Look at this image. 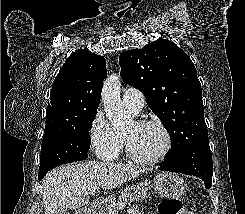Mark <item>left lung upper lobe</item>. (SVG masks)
I'll return each mask as SVG.
<instances>
[{
  "instance_id": "1",
  "label": "left lung upper lobe",
  "mask_w": 245,
  "mask_h": 214,
  "mask_svg": "<svg viewBox=\"0 0 245 214\" xmlns=\"http://www.w3.org/2000/svg\"><path fill=\"white\" fill-rule=\"evenodd\" d=\"M121 76L139 89L171 138V157L208 143L201 84L187 54L175 43L158 39L119 57Z\"/></svg>"
}]
</instances>
